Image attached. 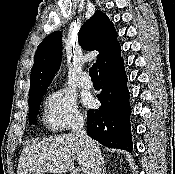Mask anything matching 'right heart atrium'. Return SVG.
Returning <instances> with one entry per match:
<instances>
[{"label":"right heart atrium","instance_id":"obj_1","mask_svg":"<svg viewBox=\"0 0 175 174\" xmlns=\"http://www.w3.org/2000/svg\"><path fill=\"white\" fill-rule=\"evenodd\" d=\"M44 119L52 131H63L83 122L75 97L63 89L51 92L44 101Z\"/></svg>","mask_w":175,"mask_h":174}]
</instances>
